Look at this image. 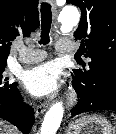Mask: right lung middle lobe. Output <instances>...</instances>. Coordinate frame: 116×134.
<instances>
[{
	"label": "right lung middle lobe",
	"mask_w": 116,
	"mask_h": 134,
	"mask_svg": "<svg viewBox=\"0 0 116 134\" xmlns=\"http://www.w3.org/2000/svg\"><path fill=\"white\" fill-rule=\"evenodd\" d=\"M7 63L0 64V103L11 101L18 93L17 83H9L5 67Z\"/></svg>",
	"instance_id": "obj_1"
}]
</instances>
